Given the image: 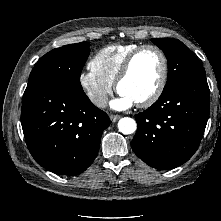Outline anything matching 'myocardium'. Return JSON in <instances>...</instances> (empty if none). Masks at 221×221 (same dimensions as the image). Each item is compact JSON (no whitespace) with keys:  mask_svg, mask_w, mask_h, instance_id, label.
<instances>
[{"mask_svg":"<svg viewBox=\"0 0 221 221\" xmlns=\"http://www.w3.org/2000/svg\"><path fill=\"white\" fill-rule=\"evenodd\" d=\"M147 49H152L158 53L161 59V75H160L159 82L155 90L151 93V95L148 96L146 99L137 103L139 107H149L153 105L161 97L165 89L167 78H168V60L163 50L153 44H146V45L139 46L128 55V57L126 58L115 80L116 90L120 94V85L130 74L135 59L140 53H142L143 51Z\"/></svg>","mask_w":221,"mask_h":221,"instance_id":"1","label":"myocardium"}]
</instances>
